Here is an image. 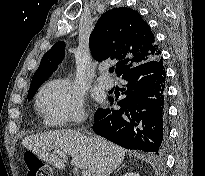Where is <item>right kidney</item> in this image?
Segmentation results:
<instances>
[{
    "instance_id": "ca27d5eb",
    "label": "right kidney",
    "mask_w": 205,
    "mask_h": 176,
    "mask_svg": "<svg viewBox=\"0 0 205 176\" xmlns=\"http://www.w3.org/2000/svg\"><path fill=\"white\" fill-rule=\"evenodd\" d=\"M123 176H139V174L135 173V172H130V173H126Z\"/></svg>"
}]
</instances>
